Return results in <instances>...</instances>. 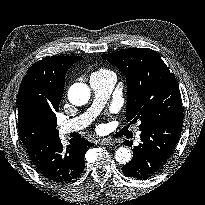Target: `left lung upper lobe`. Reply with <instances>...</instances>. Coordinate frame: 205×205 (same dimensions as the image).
<instances>
[{"mask_svg":"<svg viewBox=\"0 0 205 205\" xmlns=\"http://www.w3.org/2000/svg\"><path fill=\"white\" fill-rule=\"evenodd\" d=\"M118 67L127 81V121L139 120L140 130L183 118L181 94L174 75L154 50L130 48L103 54Z\"/></svg>","mask_w":205,"mask_h":205,"instance_id":"5c2ea615","label":"left lung upper lobe"}]
</instances>
